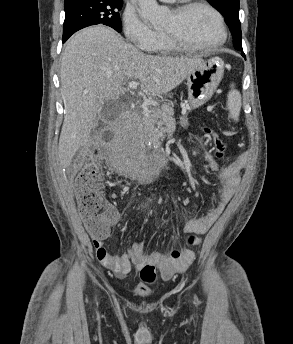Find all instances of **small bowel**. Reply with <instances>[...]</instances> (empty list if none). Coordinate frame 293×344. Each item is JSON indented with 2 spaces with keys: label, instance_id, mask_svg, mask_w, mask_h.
<instances>
[{
  "label": "small bowel",
  "instance_id": "c3829d8e",
  "mask_svg": "<svg viewBox=\"0 0 293 344\" xmlns=\"http://www.w3.org/2000/svg\"><path fill=\"white\" fill-rule=\"evenodd\" d=\"M183 125L186 126L187 123L183 121ZM204 159L208 169L218 173V178L222 185L219 190V198L213 208L205 215L192 218L186 222L184 231L197 235L205 234L225 209L239 187L240 172L245 165V157L243 155L225 167H220L210 152H205ZM196 242L198 243L199 239ZM93 245L99 262L111 270L117 278H124L132 270H141L147 265L158 266L162 275L165 278H169L176 272L186 270L195 258V253L191 249H184L179 259L169 258L159 251L146 254L141 241L134 243L131 248L121 255L111 254L104 244V238L94 239ZM144 291L143 287H139L136 293L142 294Z\"/></svg>",
  "mask_w": 293,
  "mask_h": 344
}]
</instances>
